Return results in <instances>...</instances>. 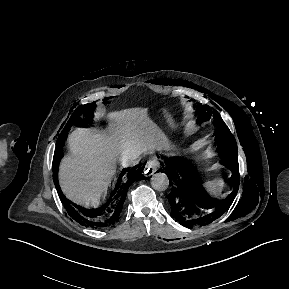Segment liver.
<instances>
[{
    "instance_id": "1",
    "label": "liver",
    "mask_w": 289,
    "mask_h": 289,
    "mask_svg": "<svg viewBox=\"0 0 289 289\" xmlns=\"http://www.w3.org/2000/svg\"><path fill=\"white\" fill-rule=\"evenodd\" d=\"M109 118L108 133L77 129L68 138L71 155L60 163L59 183L65 196L76 204L89 207L99 202L124 152L140 154L168 144L145 108L112 112Z\"/></svg>"
}]
</instances>
